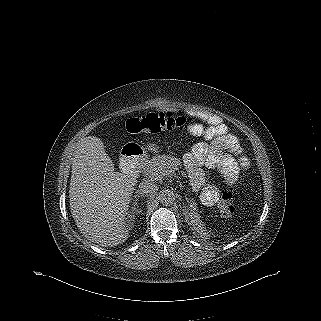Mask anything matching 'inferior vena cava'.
I'll return each instance as SVG.
<instances>
[{"mask_svg":"<svg viewBox=\"0 0 321 321\" xmlns=\"http://www.w3.org/2000/svg\"><path fill=\"white\" fill-rule=\"evenodd\" d=\"M140 193L146 196H153L158 191V186L150 179H145L139 185Z\"/></svg>","mask_w":321,"mask_h":321,"instance_id":"1","label":"inferior vena cava"}]
</instances>
